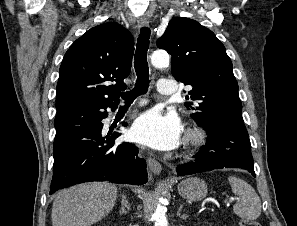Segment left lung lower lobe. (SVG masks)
<instances>
[{
  "label": "left lung lower lobe",
  "instance_id": "left-lung-lower-lobe-1",
  "mask_svg": "<svg viewBox=\"0 0 297 226\" xmlns=\"http://www.w3.org/2000/svg\"><path fill=\"white\" fill-rule=\"evenodd\" d=\"M203 128L208 134L206 145L198 151L195 162L177 167L178 175H190L217 168H242L255 176L251 145L245 125L215 122Z\"/></svg>",
  "mask_w": 297,
  "mask_h": 226
}]
</instances>
